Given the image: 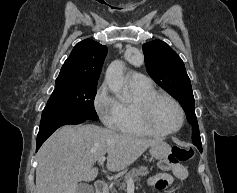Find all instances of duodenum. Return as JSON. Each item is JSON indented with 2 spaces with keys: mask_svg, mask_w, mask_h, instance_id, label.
<instances>
[{
  "mask_svg": "<svg viewBox=\"0 0 237 193\" xmlns=\"http://www.w3.org/2000/svg\"><path fill=\"white\" fill-rule=\"evenodd\" d=\"M94 186H95L96 193H107L108 192L107 184L104 181H96Z\"/></svg>",
  "mask_w": 237,
  "mask_h": 193,
  "instance_id": "1",
  "label": "duodenum"
}]
</instances>
